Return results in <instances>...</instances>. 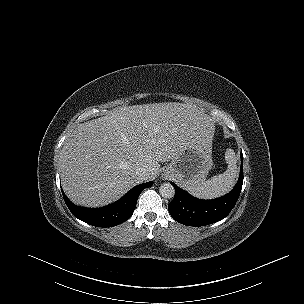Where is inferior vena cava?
<instances>
[{"label":"inferior vena cava","mask_w":304,"mask_h":304,"mask_svg":"<svg viewBox=\"0 0 304 304\" xmlns=\"http://www.w3.org/2000/svg\"><path fill=\"white\" fill-rule=\"evenodd\" d=\"M135 174L141 181L147 180L149 176V172L145 168H137Z\"/></svg>","instance_id":"inferior-vena-cava-1"}]
</instances>
